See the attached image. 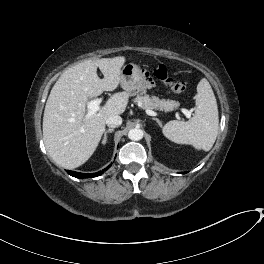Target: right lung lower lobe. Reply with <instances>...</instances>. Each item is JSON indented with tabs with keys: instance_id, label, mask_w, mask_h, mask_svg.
<instances>
[{
	"instance_id": "1",
	"label": "right lung lower lobe",
	"mask_w": 264,
	"mask_h": 264,
	"mask_svg": "<svg viewBox=\"0 0 264 264\" xmlns=\"http://www.w3.org/2000/svg\"><path fill=\"white\" fill-rule=\"evenodd\" d=\"M111 166V165H110ZM108 168H106L105 170H107ZM68 172V174H70L71 176H73V177H76V178H79V179H81V178H86V177H91V178H93V177H97V176H100L102 173H103V171H99V172H97V173H91V174H85V173H79V172H74V171H70V170H68L67 171Z\"/></svg>"
}]
</instances>
